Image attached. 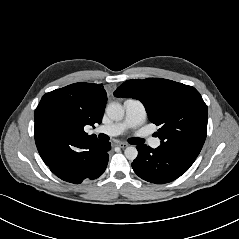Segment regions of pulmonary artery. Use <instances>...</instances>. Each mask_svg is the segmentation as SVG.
Returning a JSON list of instances; mask_svg holds the SVG:
<instances>
[{"mask_svg": "<svg viewBox=\"0 0 239 239\" xmlns=\"http://www.w3.org/2000/svg\"><path fill=\"white\" fill-rule=\"evenodd\" d=\"M123 107L125 110L123 120L110 125L100 126L96 131L109 136H116L123 133L128 128L140 126L146 120L145 107L139 100L127 99L124 101ZM149 144L151 147L156 148L160 145V141L157 138H150Z\"/></svg>", "mask_w": 239, "mask_h": 239, "instance_id": "1", "label": "pulmonary artery"}]
</instances>
